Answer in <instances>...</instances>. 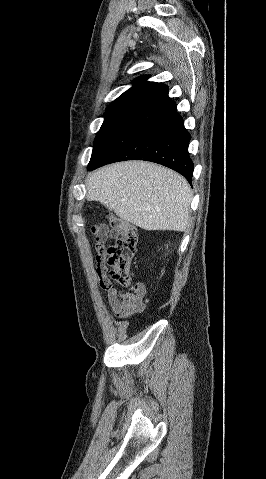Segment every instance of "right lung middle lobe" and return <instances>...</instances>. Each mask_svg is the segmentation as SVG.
<instances>
[{"label": "right lung middle lobe", "instance_id": "obj_1", "mask_svg": "<svg viewBox=\"0 0 266 479\" xmlns=\"http://www.w3.org/2000/svg\"><path fill=\"white\" fill-rule=\"evenodd\" d=\"M136 112H116L105 114V120L98 132L88 167L109 143V141L136 115Z\"/></svg>", "mask_w": 266, "mask_h": 479}]
</instances>
